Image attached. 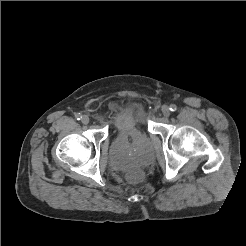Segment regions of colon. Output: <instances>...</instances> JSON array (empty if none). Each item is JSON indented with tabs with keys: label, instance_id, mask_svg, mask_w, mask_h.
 <instances>
[{
	"label": "colon",
	"instance_id": "colon-1",
	"mask_svg": "<svg viewBox=\"0 0 246 246\" xmlns=\"http://www.w3.org/2000/svg\"><path fill=\"white\" fill-rule=\"evenodd\" d=\"M129 177H130L131 180L137 181L138 178H139V175L136 172H132V173H130Z\"/></svg>",
	"mask_w": 246,
	"mask_h": 246
}]
</instances>
